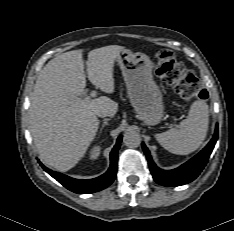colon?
Returning a JSON list of instances; mask_svg holds the SVG:
<instances>
[{
	"mask_svg": "<svg viewBox=\"0 0 234 231\" xmlns=\"http://www.w3.org/2000/svg\"><path fill=\"white\" fill-rule=\"evenodd\" d=\"M156 75L184 100L206 99L207 91L198 77L186 69L170 51H161L154 64Z\"/></svg>",
	"mask_w": 234,
	"mask_h": 231,
	"instance_id": "obj_1",
	"label": "colon"
}]
</instances>
